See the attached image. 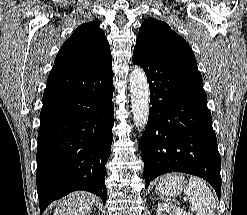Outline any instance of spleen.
Returning a JSON list of instances; mask_svg holds the SVG:
<instances>
[{
	"label": "spleen",
	"instance_id": "1",
	"mask_svg": "<svg viewBox=\"0 0 247 215\" xmlns=\"http://www.w3.org/2000/svg\"><path fill=\"white\" fill-rule=\"evenodd\" d=\"M184 192L189 197L191 210L196 215H214L216 208L214 194L201 178L191 177Z\"/></svg>",
	"mask_w": 247,
	"mask_h": 215
}]
</instances>
